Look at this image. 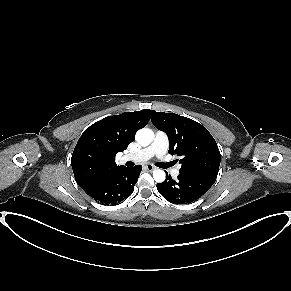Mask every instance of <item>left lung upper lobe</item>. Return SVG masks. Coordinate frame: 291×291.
<instances>
[{
    "instance_id": "1",
    "label": "left lung upper lobe",
    "mask_w": 291,
    "mask_h": 291,
    "mask_svg": "<svg viewBox=\"0 0 291 291\" xmlns=\"http://www.w3.org/2000/svg\"><path fill=\"white\" fill-rule=\"evenodd\" d=\"M151 121L167 133L169 153L180 156L183 173H199L217 177L220 152L208 130L198 122L175 113L151 112Z\"/></svg>"
}]
</instances>
